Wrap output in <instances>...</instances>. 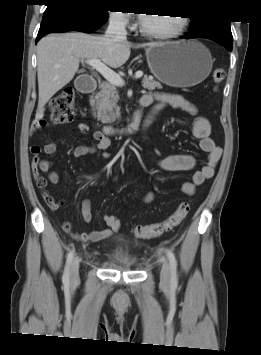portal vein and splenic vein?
<instances>
[{"instance_id": "obj_1", "label": "portal vein and splenic vein", "mask_w": 261, "mask_h": 355, "mask_svg": "<svg viewBox=\"0 0 261 355\" xmlns=\"http://www.w3.org/2000/svg\"><path fill=\"white\" fill-rule=\"evenodd\" d=\"M86 64L91 66L93 69L98 71L109 83L122 87L125 82L120 77L119 74L115 73L112 69L107 67L104 63H102L99 59H88L85 61ZM143 76L142 71H137L135 73V79H139Z\"/></svg>"}]
</instances>
